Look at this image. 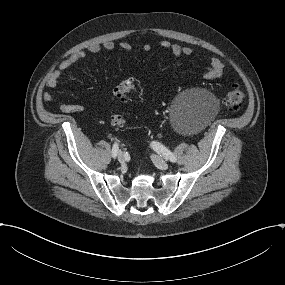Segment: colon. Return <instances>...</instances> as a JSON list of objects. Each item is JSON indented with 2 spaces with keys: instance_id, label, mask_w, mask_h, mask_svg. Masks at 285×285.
<instances>
[{
  "instance_id": "obj_1",
  "label": "colon",
  "mask_w": 285,
  "mask_h": 285,
  "mask_svg": "<svg viewBox=\"0 0 285 285\" xmlns=\"http://www.w3.org/2000/svg\"><path fill=\"white\" fill-rule=\"evenodd\" d=\"M135 89L133 79H126L118 84L113 90V97L120 101H125L127 95ZM244 100V93L239 88L229 91L222 100V106L229 111H237L241 108ZM111 124L115 128H121L125 124L124 117L115 113L111 117Z\"/></svg>"
}]
</instances>
